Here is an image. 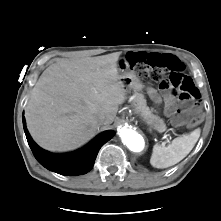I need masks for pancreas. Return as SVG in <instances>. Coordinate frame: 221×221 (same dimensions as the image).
<instances>
[{
	"label": "pancreas",
	"mask_w": 221,
	"mask_h": 221,
	"mask_svg": "<svg viewBox=\"0 0 221 221\" xmlns=\"http://www.w3.org/2000/svg\"><path fill=\"white\" fill-rule=\"evenodd\" d=\"M133 107L136 113H139L142 117H148L151 121L155 122L154 129L163 131L166 125L162 119L151 114L149 107L147 106L146 100L143 95H138L133 101Z\"/></svg>",
	"instance_id": "cf45deb5"
}]
</instances>
